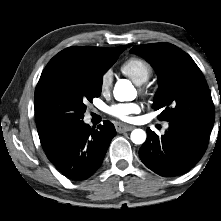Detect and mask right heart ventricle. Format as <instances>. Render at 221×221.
Masks as SVG:
<instances>
[{
    "instance_id": "1",
    "label": "right heart ventricle",
    "mask_w": 221,
    "mask_h": 221,
    "mask_svg": "<svg viewBox=\"0 0 221 221\" xmlns=\"http://www.w3.org/2000/svg\"><path fill=\"white\" fill-rule=\"evenodd\" d=\"M121 71L133 82L140 85L151 77L152 67L141 58L131 57L122 64Z\"/></svg>"
}]
</instances>
